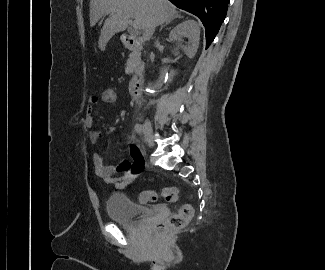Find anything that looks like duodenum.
Returning <instances> with one entry per match:
<instances>
[{
  "mask_svg": "<svg viewBox=\"0 0 325 270\" xmlns=\"http://www.w3.org/2000/svg\"><path fill=\"white\" fill-rule=\"evenodd\" d=\"M124 42L126 44V47L130 51V58L132 62H136L141 54L142 51V44L141 42L133 35L131 34H125L123 36ZM130 90L132 95L136 99H140L142 96V79L140 75H136L131 83Z\"/></svg>",
  "mask_w": 325,
  "mask_h": 270,
  "instance_id": "410a0bca",
  "label": "duodenum"
}]
</instances>
